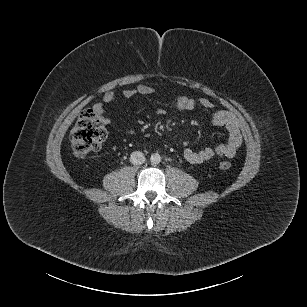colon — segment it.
I'll list each match as a JSON object with an SVG mask.
<instances>
[{
	"instance_id": "1",
	"label": "colon",
	"mask_w": 307,
	"mask_h": 307,
	"mask_svg": "<svg viewBox=\"0 0 307 307\" xmlns=\"http://www.w3.org/2000/svg\"><path fill=\"white\" fill-rule=\"evenodd\" d=\"M107 132L103 123L97 118L93 109L85 110L76 121L70 133V143L76 157H85L98 150L106 138ZM221 169L231 168L229 161H221Z\"/></svg>"
}]
</instances>
